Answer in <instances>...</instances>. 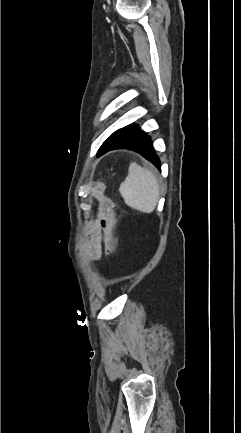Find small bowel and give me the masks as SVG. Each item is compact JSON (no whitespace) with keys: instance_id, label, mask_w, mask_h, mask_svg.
Returning a JSON list of instances; mask_svg holds the SVG:
<instances>
[{"instance_id":"1","label":"small bowel","mask_w":241,"mask_h":433,"mask_svg":"<svg viewBox=\"0 0 241 433\" xmlns=\"http://www.w3.org/2000/svg\"><path fill=\"white\" fill-rule=\"evenodd\" d=\"M102 224L91 222L89 225V237L85 244V255L91 260H99L102 257Z\"/></svg>"}]
</instances>
